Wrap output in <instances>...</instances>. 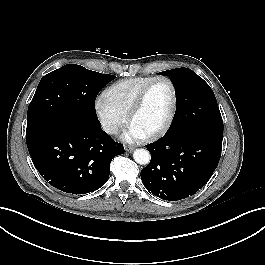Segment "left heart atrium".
I'll return each mask as SVG.
<instances>
[{
    "instance_id": "39dd6f15",
    "label": "left heart atrium",
    "mask_w": 265,
    "mask_h": 265,
    "mask_svg": "<svg viewBox=\"0 0 265 265\" xmlns=\"http://www.w3.org/2000/svg\"><path fill=\"white\" fill-rule=\"evenodd\" d=\"M145 137L146 135L134 125H130L122 135V139L126 142L139 141L144 139Z\"/></svg>"
}]
</instances>
